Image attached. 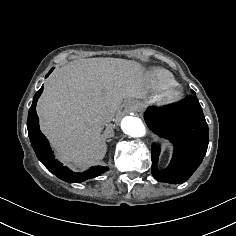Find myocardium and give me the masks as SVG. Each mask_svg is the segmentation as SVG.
I'll use <instances>...</instances> for the list:
<instances>
[{
  "label": "myocardium",
  "mask_w": 236,
  "mask_h": 236,
  "mask_svg": "<svg viewBox=\"0 0 236 236\" xmlns=\"http://www.w3.org/2000/svg\"><path fill=\"white\" fill-rule=\"evenodd\" d=\"M180 91L175 88H170L164 92L163 98L166 103H172L178 99Z\"/></svg>",
  "instance_id": "obj_1"
}]
</instances>
